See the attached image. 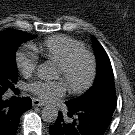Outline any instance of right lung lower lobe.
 I'll return each instance as SVG.
<instances>
[{
    "instance_id": "1",
    "label": "right lung lower lobe",
    "mask_w": 135,
    "mask_h": 135,
    "mask_svg": "<svg viewBox=\"0 0 135 135\" xmlns=\"http://www.w3.org/2000/svg\"><path fill=\"white\" fill-rule=\"evenodd\" d=\"M31 106L32 100L29 97L13 101L4 100L3 94H0V135H15L21 114Z\"/></svg>"
}]
</instances>
